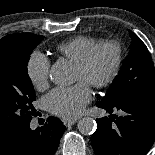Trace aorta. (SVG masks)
Instances as JSON below:
<instances>
[{"label":"aorta","mask_w":155,"mask_h":155,"mask_svg":"<svg viewBox=\"0 0 155 155\" xmlns=\"http://www.w3.org/2000/svg\"><path fill=\"white\" fill-rule=\"evenodd\" d=\"M50 79L56 85L70 84L73 79L71 66L65 61H57L51 68ZM96 122L90 117L78 121V130L83 135H91L96 130Z\"/></svg>","instance_id":"762f6f07"}]
</instances>
